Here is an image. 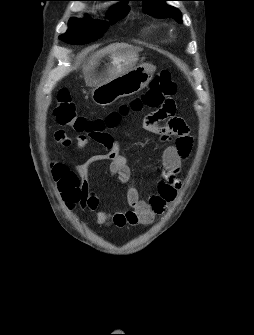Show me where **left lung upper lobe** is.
<instances>
[{"instance_id": "obj_1", "label": "left lung upper lobe", "mask_w": 254, "mask_h": 335, "mask_svg": "<svg viewBox=\"0 0 254 335\" xmlns=\"http://www.w3.org/2000/svg\"><path fill=\"white\" fill-rule=\"evenodd\" d=\"M143 2V11L149 15L160 18H174L182 23L181 13L177 8L165 4L169 0H139Z\"/></svg>"}]
</instances>
